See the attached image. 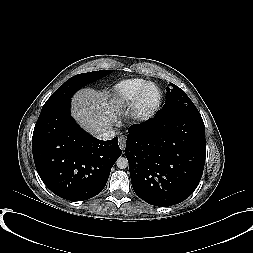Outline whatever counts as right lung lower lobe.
<instances>
[{"label": "right lung lower lobe", "instance_id": "98d812e1", "mask_svg": "<svg viewBox=\"0 0 253 253\" xmlns=\"http://www.w3.org/2000/svg\"><path fill=\"white\" fill-rule=\"evenodd\" d=\"M37 172L57 196L83 201L99 194L122 154L118 137L102 141L70 115V101L40 113L32 137Z\"/></svg>", "mask_w": 253, "mask_h": 253}]
</instances>
